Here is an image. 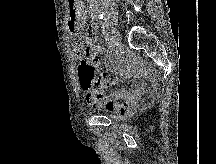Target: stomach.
<instances>
[{"instance_id":"0dacf381","label":"stomach","mask_w":216,"mask_h":164,"mask_svg":"<svg viewBox=\"0 0 216 164\" xmlns=\"http://www.w3.org/2000/svg\"><path fill=\"white\" fill-rule=\"evenodd\" d=\"M69 12H70V14H77L78 11H77V9H70Z\"/></svg>"}]
</instances>
